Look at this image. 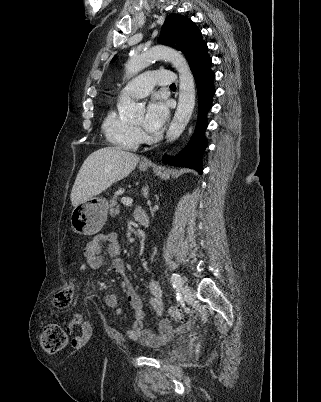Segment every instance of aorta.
Segmentation results:
<instances>
[{"instance_id": "obj_1", "label": "aorta", "mask_w": 321, "mask_h": 402, "mask_svg": "<svg viewBox=\"0 0 321 402\" xmlns=\"http://www.w3.org/2000/svg\"><path fill=\"white\" fill-rule=\"evenodd\" d=\"M165 59L179 74V99L173 120L166 133V141H175L184 131L195 106V82L188 62L183 54L171 47L154 46L142 53L132 51L126 64V76L131 77L148 67L152 61ZM119 111L129 117H137L143 111L142 105L127 101L119 105Z\"/></svg>"}]
</instances>
